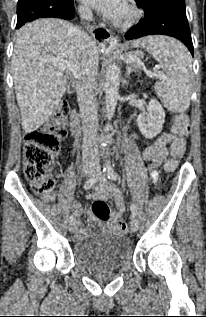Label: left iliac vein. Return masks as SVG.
<instances>
[{
    "label": "left iliac vein",
    "instance_id": "4c4485c4",
    "mask_svg": "<svg viewBox=\"0 0 206 317\" xmlns=\"http://www.w3.org/2000/svg\"><path fill=\"white\" fill-rule=\"evenodd\" d=\"M103 181H105V178H103ZM130 227L132 232H136L138 229V220L135 216H133L131 219Z\"/></svg>",
    "mask_w": 206,
    "mask_h": 317
}]
</instances>
